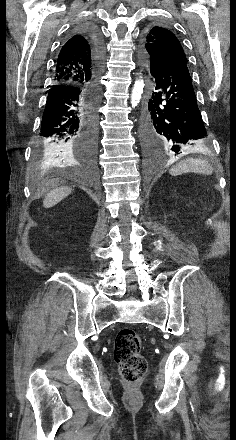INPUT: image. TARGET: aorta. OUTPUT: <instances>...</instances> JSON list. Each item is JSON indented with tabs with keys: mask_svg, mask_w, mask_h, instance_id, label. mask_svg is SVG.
<instances>
[{
	"mask_svg": "<svg viewBox=\"0 0 236 440\" xmlns=\"http://www.w3.org/2000/svg\"><path fill=\"white\" fill-rule=\"evenodd\" d=\"M144 86H145V84H144L143 79L139 78V79L135 80L134 85L132 87V91H131L132 107H136L140 103Z\"/></svg>",
	"mask_w": 236,
	"mask_h": 440,
	"instance_id": "obj_1",
	"label": "aorta"
}]
</instances>
